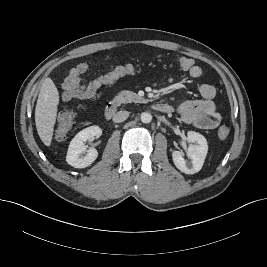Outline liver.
I'll return each mask as SVG.
<instances>
[{
	"label": "liver",
	"instance_id": "1",
	"mask_svg": "<svg viewBox=\"0 0 267 267\" xmlns=\"http://www.w3.org/2000/svg\"><path fill=\"white\" fill-rule=\"evenodd\" d=\"M58 104V89L50 78H46L40 89L35 108L37 132L45 146H50L52 142Z\"/></svg>",
	"mask_w": 267,
	"mask_h": 267
}]
</instances>
